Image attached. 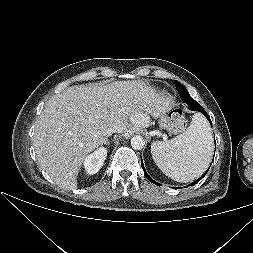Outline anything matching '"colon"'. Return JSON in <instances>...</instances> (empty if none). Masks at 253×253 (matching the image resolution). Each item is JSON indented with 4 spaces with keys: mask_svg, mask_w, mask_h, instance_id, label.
I'll return each instance as SVG.
<instances>
[{
    "mask_svg": "<svg viewBox=\"0 0 253 253\" xmlns=\"http://www.w3.org/2000/svg\"><path fill=\"white\" fill-rule=\"evenodd\" d=\"M169 128L173 131H181L185 128V118L179 112H173L169 116Z\"/></svg>",
    "mask_w": 253,
    "mask_h": 253,
    "instance_id": "colon-1",
    "label": "colon"
}]
</instances>
